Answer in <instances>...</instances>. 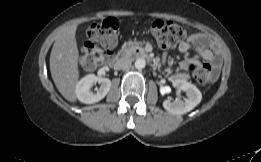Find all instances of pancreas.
<instances>
[{
    "label": "pancreas",
    "mask_w": 261,
    "mask_h": 162,
    "mask_svg": "<svg viewBox=\"0 0 261 162\" xmlns=\"http://www.w3.org/2000/svg\"><path fill=\"white\" fill-rule=\"evenodd\" d=\"M137 49H139L140 51H144V49L142 48V44L140 42L130 41L126 44L125 48L123 49V53L130 55L135 53Z\"/></svg>",
    "instance_id": "obj_1"
}]
</instances>
